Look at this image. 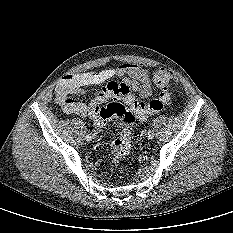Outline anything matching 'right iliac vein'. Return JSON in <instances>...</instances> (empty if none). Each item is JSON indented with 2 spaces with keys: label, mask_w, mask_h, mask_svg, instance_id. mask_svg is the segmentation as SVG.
<instances>
[{
  "label": "right iliac vein",
  "mask_w": 233,
  "mask_h": 233,
  "mask_svg": "<svg viewBox=\"0 0 233 233\" xmlns=\"http://www.w3.org/2000/svg\"><path fill=\"white\" fill-rule=\"evenodd\" d=\"M97 137V132L93 131L92 138L95 139Z\"/></svg>",
  "instance_id": "right-iliac-vein-1"
}]
</instances>
